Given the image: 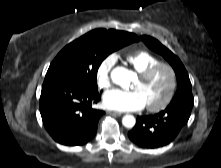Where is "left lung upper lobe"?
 Segmentation results:
<instances>
[{"mask_svg":"<svg viewBox=\"0 0 221 168\" xmlns=\"http://www.w3.org/2000/svg\"><path fill=\"white\" fill-rule=\"evenodd\" d=\"M141 40L151 50L162 55L175 71L177 77V91L170 104H175L179 102L193 103L191 82L188 73L180 59L176 55H174L169 49H167L164 45H162L158 40L152 37L141 36Z\"/></svg>","mask_w":221,"mask_h":168,"instance_id":"1","label":"left lung upper lobe"}]
</instances>
